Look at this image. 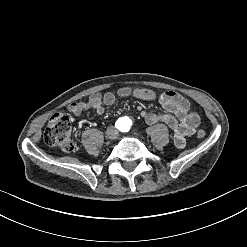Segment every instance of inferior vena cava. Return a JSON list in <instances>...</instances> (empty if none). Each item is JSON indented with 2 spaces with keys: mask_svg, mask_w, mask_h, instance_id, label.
Wrapping results in <instances>:
<instances>
[{
  "mask_svg": "<svg viewBox=\"0 0 247 247\" xmlns=\"http://www.w3.org/2000/svg\"><path fill=\"white\" fill-rule=\"evenodd\" d=\"M112 132H113V137H117L118 136V130L114 127V126H110Z\"/></svg>",
  "mask_w": 247,
  "mask_h": 247,
  "instance_id": "1",
  "label": "inferior vena cava"
}]
</instances>
